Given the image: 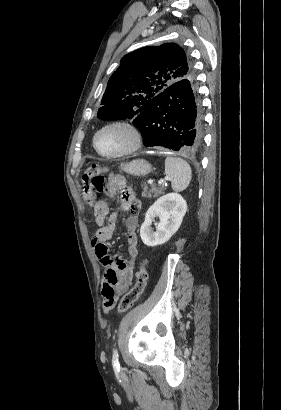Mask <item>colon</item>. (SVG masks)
Listing matches in <instances>:
<instances>
[{
	"mask_svg": "<svg viewBox=\"0 0 281 410\" xmlns=\"http://www.w3.org/2000/svg\"><path fill=\"white\" fill-rule=\"evenodd\" d=\"M83 181V199L86 203L91 204L95 198L97 192H101L104 189L105 182L103 178V168L99 166H93L89 168L82 176ZM139 211V210H138ZM137 211V212H138ZM147 282V272L145 269V261H142L139 266V270L136 275V282L133 287L126 292L121 298L118 304V311L120 313L126 312L131 309L143 294ZM104 308L111 309L114 306L113 297L109 296L104 301Z\"/></svg>",
	"mask_w": 281,
	"mask_h": 410,
	"instance_id": "5ec220e1",
	"label": "colon"
}]
</instances>
